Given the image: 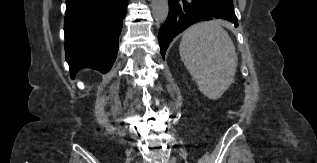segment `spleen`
<instances>
[{"label":"spleen","instance_id":"obj_1","mask_svg":"<svg viewBox=\"0 0 317 163\" xmlns=\"http://www.w3.org/2000/svg\"><path fill=\"white\" fill-rule=\"evenodd\" d=\"M179 52L205 96L217 99L228 89L236 72L237 55L229 34L216 22H202L188 28L183 33Z\"/></svg>","mask_w":317,"mask_h":163}]
</instances>
